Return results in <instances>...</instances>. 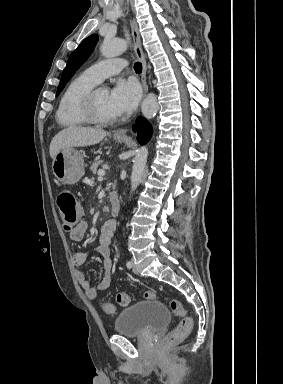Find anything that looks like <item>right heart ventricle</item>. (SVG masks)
<instances>
[{
	"mask_svg": "<svg viewBox=\"0 0 283 384\" xmlns=\"http://www.w3.org/2000/svg\"><path fill=\"white\" fill-rule=\"evenodd\" d=\"M96 83L82 73L72 79L61 94L56 119L59 125L65 129L78 130L88 125L78 114L77 108L81 98L92 89Z\"/></svg>",
	"mask_w": 283,
	"mask_h": 384,
	"instance_id": "obj_1",
	"label": "right heart ventricle"
}]
</instances>
